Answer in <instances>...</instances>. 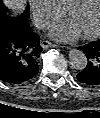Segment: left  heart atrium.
<instances>
[{"instance_id":"39dd6f15","label":"left heart atrium","mask_w":100,"mask_h":118,"mask_svg":"<svg viewBox=\"0 0 100 118\" xmlns=\"http://www.w3.org/2000/svg\"><path fill=\"white\" fill-rule=\"evenodd\" d=\"M81 34L80 29L72 20L57 22L50 29V36L61 42H72Z\"/></svg>"}]
</instances>
